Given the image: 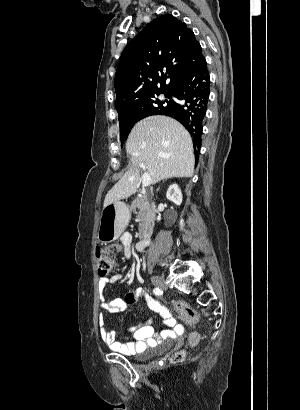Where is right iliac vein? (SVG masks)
I'll return each mask as SVG.
<instances>
[{
  "label": "right iliac vein",
  "instance_id": "right-iliac-vein-1",
  "mask_svg": "<svg viewBox=\"0 0 300 410\" xmlns=\"http://www.w3.org/2000/svg\"><path fill=\"white\" fill-rule=\"evenodd\" d=\"M151 282L158 288H166L165 280L160 276H151Z\"/></svg>",
  "mask_w": 300,
  "mask_h": 410
}]
</instances>
